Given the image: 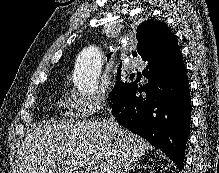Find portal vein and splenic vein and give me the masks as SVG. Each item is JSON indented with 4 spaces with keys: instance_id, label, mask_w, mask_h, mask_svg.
Returning a JSON list of instances; mask_svg holds the SVG:
<instances>
[{
    "instance_id": "portal-vein-and-splenic-vein-1",
    "label": "portal vein and splenic vein",
    "mask_w": 219,
    "mask_h": 173,
    "mask_svg": "<svg viewBox=\"0 0 219 173\" xmlns=\"http://www.w3.org/2000/svg\"><path fill=\"white\" fill-rule=\"evenodd\" d=\"M89 172H90V173H94V172H93V171H91V170H88V169H87V170H85V173H89Z\"/></svg>"
}]
</instances>
